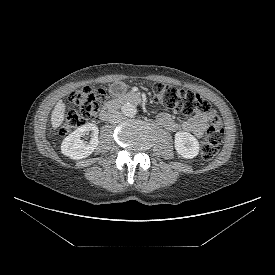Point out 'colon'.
Listing matches in <instances>:
<instances>
[{"label": "colon", "mask_w": 275, "mask_h": 275, "mask_svg": "<svg viewBox=\"0 0 275 275\" xmlns=\"http://www.w3.org/2000/svg\"><path fill=\"white\" fill-rule=\"evenodd\" d=\"M155 102L169 109H175L183 114L207 113L210 111L209 103L199 94L189 90L178 89L163 83H155L151 87ZM106 99L102 89L83 88L71 96L74 105L65 117L59 128L60 135L71 131L94 120ZM224 139V128L218 116H214L208 126L205 137L201 142L200 154L204 160L213 159Z\"/></svg>", "instance_id": "obj_1"}]
</instances>
